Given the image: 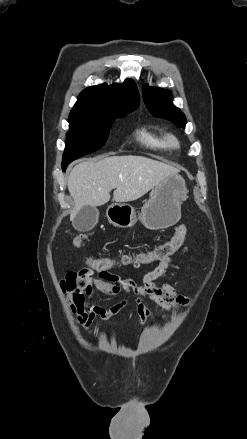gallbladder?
<instances>
[{
    "instance_id": "1",
    "label": "gallbladder",
    "mask_w": 247,
    "mask_h": 439,
    "mask_svg": "<svg viewBox=\"0 0 247 439\" xmlns=\"http://www.w3.org/2000/svg\"><path fill=\"white\" fill-rule=\"evenodd\" d=\"M99 211L96 207L83 206L72 221L74 228L78 231H90L98 222Z\"/></svg>"
}]
</instances>
